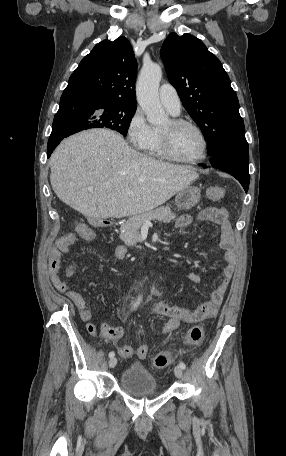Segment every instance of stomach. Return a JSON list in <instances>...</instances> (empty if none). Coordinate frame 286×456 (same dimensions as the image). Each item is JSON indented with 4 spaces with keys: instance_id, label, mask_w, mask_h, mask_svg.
Returning a JSON list of instances; mask_svg holds the SVG:
<instances>
[{
    "instance_id": "stomach-1",
    "label": "stomach",
    "mask_w": 286,
    "mask_h": 456,
    "mask_svg": "<svg viewBox=\"0 0 286 456\" xmlns=\"http://www.w3.org/2000/svg\"><path fill=\"white\" fill-rule=\"evenodd\" d=\"M201 190L195 186H188L179 191L175 197V205L178 209L189 210L199 202Z\"/></svg>"
}]
</instances>
